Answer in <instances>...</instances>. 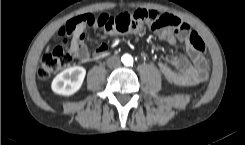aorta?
Returning <instances> with one entry per match:
<instances>
[{"label": "aorta", "mask_w": 245, "mask_h": 145, "mask_svg": "<svg viewBox=\"0 0 245 145\" xmlns=\"http://www.w3.org/2000/svg\"><path fill=\"white\" fill-rule=\"evenodd\" d=\"M122 62H123L124 65L130 66V65H132V63H133V58H132V56L129 55V54H124V55L122 56Z\"/></svg>", "instance_id": "1"}]
</instances>
